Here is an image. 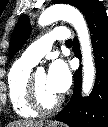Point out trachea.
I'll return each instance as SVG.
<instances>
[{"mask_svg": "<svg viewBox=\"0 0 108 127\" xmlns=\"http://www.w3.org/2000/svg\"><path fill=\"white\" fill-rule=\"evenodd\" d=\"M66 44H71L72 43V40H67L66 42H65Z\"/></svg>", "mask_w": 108, "mask_h": 127, "instance_id": "obj_1", "label": "trachea"}]
</instances>
